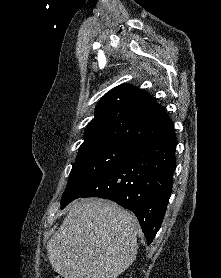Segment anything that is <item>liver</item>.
<instances>
[{"instance_id": "6515ba94", "label": "liver", "mask_w": 221, "mask_h": 278, "mask_svg": "<svg viewBox=\"0 0 221 278\" xmlns=\"http://www.w3.org/2000/svg\"><path fill=\"white\" fill-rule=\"evenodd\" d=\"M137 228L114 202L75 201L47 244L49 262L65 278H117L136 257Z\"/></svg>"}]
</instances>
